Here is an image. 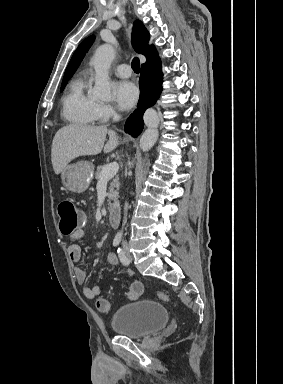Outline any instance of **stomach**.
I'll return each mask as SVG.
<instances>
[{
	"instance_id": "0dacf381",
	"label": "stomach",
	"mask_w": 283,
	"mask_h": 384,
	"mask_svg": "<svg viewBox=\"0 0 283 384\" xmlns=\"http://www.w3.org/2000/svg\"><path fill=\"white\" fill-rule=\"evenodd\" d=\"M93 170L92 162H87V160L66 166L61 174L64 188L69 192H74V194H82L93 180Z\"/></svg>"
}]
</instances>
